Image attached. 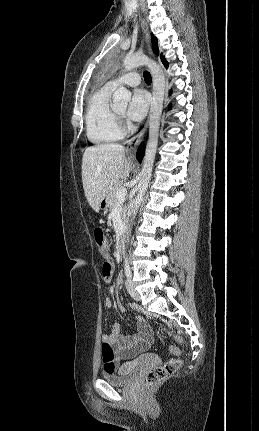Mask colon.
I'll list each match as a JSON object with an SVG mask.
<instances>
[{
    "instance_id": "5ec220e1",
    "label": "colon",
    "mask_w": 259,
    "mask_h": 431,
    "mask_svg": "<svg viewBox=\"0 0 259 431\" xmlns=\"http://www.w3.org/2000/svg\"><path fill=\"white\" fill-rule=\"evenodd\" d=\"M93 234H94L95 242L99 248V252L101 254V257L103 259L102 269L105 266H108L112 270V261H111V257H110L109 252H108V248L106 246V235H105L104 230L101 227L96 226L94 228ZM161 330L163 332L169 334V335H173L179 343L183 342L182 337L180 335L174 334L164 327H162ZM170 351L174 355H179V353H180V350L176 347H171ZM102 353L105 355L106 358H110L112 356L113 351H112L111 346L108 343H103ZM181 365H182V361L180 359L174 358V359L168 360L167 362H165L161 366H158V367H155V368L148 370L145 374V377H144L145 384L146 385H153V384L158 383L159 381L166 378L168 375H171V374L177 372L179 370V368L181 367ZM105 370L106 371H113L114 369L112 366H109Z\"/></svg>"
}]
</instances>
